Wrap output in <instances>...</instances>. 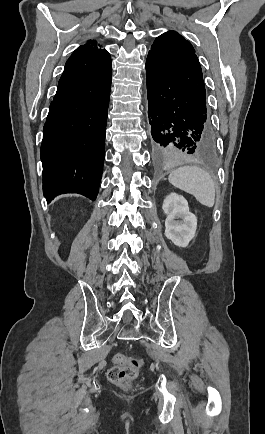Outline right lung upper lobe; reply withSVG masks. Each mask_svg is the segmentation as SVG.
Returning <instances> with one entry per match:
<instances>
[{
	"mask_svg": "<svg viewBox=\"0 0 265 434\" xmlns=\"http://www.w3.org/2000/svg\"><path fill=\"white\" fill-rule=\"evenodd\" d=\"M86 44H92V45L97 46V42L95 40H92V41L90 40Z\"/></svg>",
	"mask_w": 265,
	"mask_h": 434,
	"instance_id": "obj_1",
	"label": "right lung upper lobe"
}]
</instances>
